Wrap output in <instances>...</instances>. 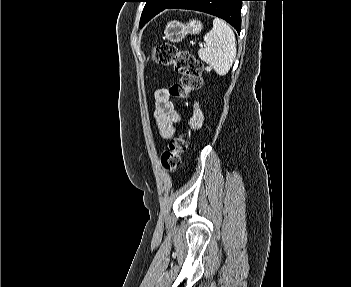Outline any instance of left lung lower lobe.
I'll return each mask as SVG.
<instances>
[{
    "mask_svg": "<svg viewBox=\"0 0 351 287\" xmlns=\"http://www.w3.org/2000/svg\"><path fill=\"white\" fill-rule=\"evenodd\" d=\"M245 0H174L166 9H189L224 19L240 33V10Z\"/></svg>",
    "mask_w": 351,
    "mask_h": 287,
    "instance_id": "1",
    "label": "left lung lower lobe"
}]
</instances>
